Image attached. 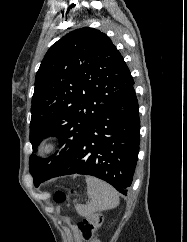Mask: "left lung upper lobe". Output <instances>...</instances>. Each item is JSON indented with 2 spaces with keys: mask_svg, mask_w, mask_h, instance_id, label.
Returning <instances> with one entry per match:
<instances>
[{
  "mask_svg": "<svg viewBox=\"0 0 187 242\" xmlns=\"http://www.w3.org/2000/svg\"><path fill=\"white\" fill-rule=\"evenodd\" d=\"M134 84L110 38L93 28L72 31L46 53L35 78L30 141L56 136L60 150L48 159L30 156L34 177L45 175L75 149L92 122Z\"/></svg>",
  "mask_w": 187,
  "mask_h": 242,
  "instance_id": "5c2ea615",
  "label": "left lung upper lobe"
}]
</instances>
